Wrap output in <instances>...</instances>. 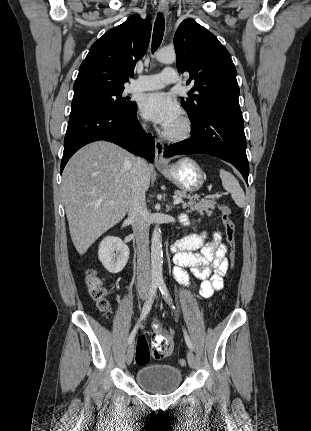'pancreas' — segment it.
Returning <instances> with one entry per match:
<instances>
[{"label":"pancreas","mask_w":311,"mask_h":431,"mask_svg":"<svg viewBox=\"0 0 311 431\" xmlns=\"http://www.w3.org/2000/svg\"><path fill=\"white\" fill-rule=\"evenodd\" d=\"M175 196L179 198H188V204H183V208H189L187 212H196L200 216H211L213 210H215L216 200L215 198H209V200H204L200 196H186V192H175ZM197 200V202H195Z\"/></svg>","instance_id":"pancreas-1"}]
</instances>
